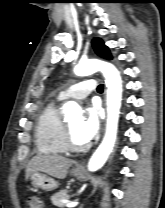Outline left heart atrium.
I'll list each match as a JSON object with an SVG mask.
<instances>
[{"instance_id":"1","label":"left heart atrium","mask_w":165,"mask_h":208,"mask_svg":"<svg viewBox=\"0 0 165 208\" xmlns=\"http://www.w3.org/2000/svg\"><path fill=\"white\" fill-rule=\"evenodd\" d=\"M100 121V108L96 103H92L86 108L85 117L78 129V135L84 143H89L95 138L100 128Z\"/></svg>"}]
</instances>
